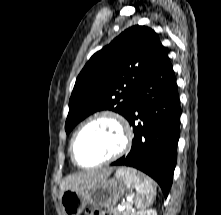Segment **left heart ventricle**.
<instances>
[{"label":"left heart ventricle","mask_w":221,"mask_h":215,"mask_svg":"<svg viewBox=\"0 0 221 215\" xmlns=\"http://www.w3.org/2000/svg\"><path fill=\"white\" fill-rule=\"evenodd\" d=\"M121 133L111 120H97L78 136L75 154L83 165H92L113 154L121 145Z\"/></svg>","instance_id":"left-heart-ventricle-1"}]
</instances>
